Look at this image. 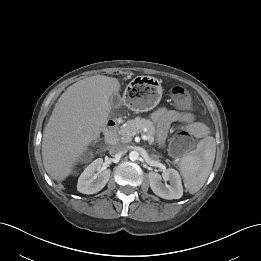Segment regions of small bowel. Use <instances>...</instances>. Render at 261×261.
Wrapping results in <instances>:
<instances>
[{
  "mask_svg": "<svg viewBox=\"0 0 261 261\" xmlns=\"http://www.w3.org/2000/svg\"><path fill=\"white\" fill-rule=\"evenodd\" d=\"M153 120L157 124V138L160 143H164L169 128L173 123H180L192 132L196 137H204L207 135V127L195 121L191 113L177 111L168 108H160L153 113Z\"/></svg>",
  "mask_w": 261,
  "mask_h": 261,
  "instance_id": "small-bowel-1",
  "label": "small bowel"
}]
</instances>
